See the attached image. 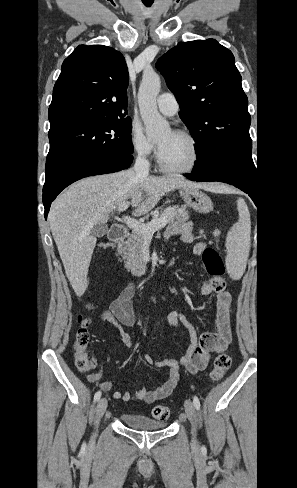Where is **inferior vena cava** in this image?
<instances>
[{"instance_id": "602c4592", "label": "inferior vena cava", "mask_w": 297, "mask_h": 488, "mask_svg": "<svg viewBox=\"0 0 297 488\" xmlns=\"http://www.w3.org/2000/svg\"><path fill=\"white\" fill-rule=\"evenodd\" d=\"M150 163L142 154H138L133 170L140 177H147L149 175Z\"/></svg>"}]
</instances>
